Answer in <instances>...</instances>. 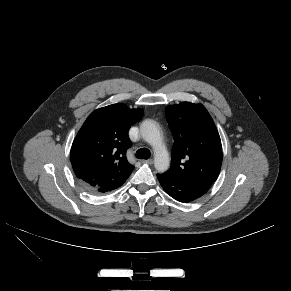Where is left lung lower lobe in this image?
I'll list each match as a JSON object with an SVG mask.
<instances>
[{
  "label": "left lung lower lobe",
  "instance_id": "0a47b994",
  "mask_svg": "<svg viewBox=\"0 0 291 291\" xmlns=\"http://www.w3.org/2000/svg\"><path fill=\"white\" fill-rule=\"evenodd\" d=\"M165 192L179 202H190L203 196L208 188L194 182L175 177L169 173L157 174Z\"/></svg>",
  "mask_w": 291,
  "mask_h": 291
}]
</instances>
